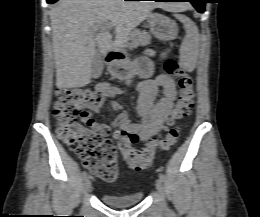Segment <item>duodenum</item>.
Listing matches in <instances>:
<instances>
[{"instance_id":"duodenum-1","label":"duodenum","mask_w":260,"mask_h":217,"mask_svg":"<svg viewBox=\"0 0 260 217\" xmlns=\"http://www.w3.org/2000/svg\"><path fill=\"white\" fill-rule=\"evenodd\" d=\"M124 56L116 47H111L106 54V61L109 64L110 70L113 74H117L123 70L121 62Z\"/></svg>"}]
</instances>
